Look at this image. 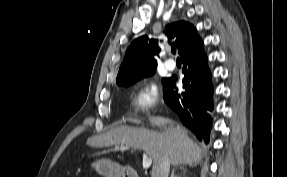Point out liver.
<instances>
[{"label": "liver", "instance_id": "6515ba94", "mask_svg": "<svg viewBox=\"0 0 287 177\" xmlns=\"http://www.w3.org/2000/svg\"><path fill=\"white\" fill-rule=\"evenodd\" d=\"M152 125H163V132L146 128L119 126L105 134L87 139V145L95 148L123 145L144 150L153 160L152 177L164 158L173 166L193 165L201 160V150L188 136V132L174 121L164 117H151Z\"/></svg>", "mask_w": 287, "mask_h": 177}]
</instances>
